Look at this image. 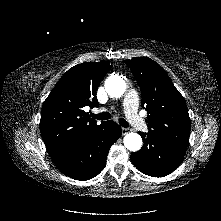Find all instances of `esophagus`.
<instances>
[{
	"instance_id": "esophagus-1",
	"label": "esophagus",
	"mask_w": 221,
	"mask_h": 221,
	"mask_svg": "<svg viewBox=\"0 0 221 221\" xmlns=\"http://www.w3.org/2000/svg\"><path fill=\"white\" fill-rule=\"evenodd\" d=\"M130 132L129 128H122V134L125 135Z\"/></svg>"
}]
</instances>
